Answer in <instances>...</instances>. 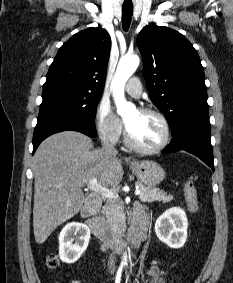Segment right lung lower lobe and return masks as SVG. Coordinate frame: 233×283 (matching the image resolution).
<instances>
[{
  "label": "right lung lower lobe",
  "instance_id": "obj_1",
  "mask_svg": "<svg viewBox=\"0 0 233 283\" xmlns=\"http://www.w3.org/2000/svg\"><path fill=\"white\" fill-rule=\"evenodd\" d=\"M61 131H78L90 137L97 132L94 124L74 120L63 116H52L38 120L33 135V153L39 144L48 136Z\"/></svg>",
  "mask_w": 233,
  "mask_h": 283
}]
</instances>
